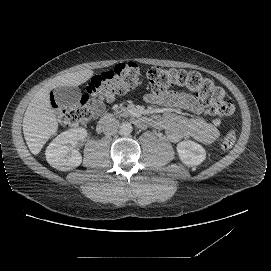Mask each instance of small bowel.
Returning <instances> with one entry per match:
<instances>
[{
    "label": "small bowel",
    "mask_w": 271,
    "mask_h": 271,
    "mask_svg": "<svg viewBox=\"0 0 271 271\" xmlns=\"http://www.w3.org/2000/svg\"><path fill=\"white\" fill-rule=\"evenodd\" d=\"M145 100L150 104L179 108L193 114L191 118H185L168 112L151 118V123L164 129L171 141L194 139L202 143H212L219 137L220 119H215L211 110L194 95L184 91L162 95L149 93L145 95Z\"/></svg>",
    "instance_id": "c3829d8e"
}]
</instances>
